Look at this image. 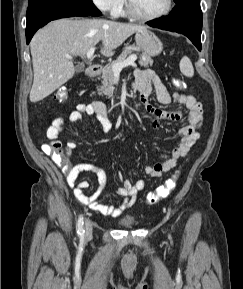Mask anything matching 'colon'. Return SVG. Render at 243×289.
I'll return each mask as SVG.
<instances>
[{"mask_svg": "<svg viewBox=\"0 0 243 289\" xmlns=\"http://www.w3.org/2000/svg\"><path fill=\"white\" fill-rule=\"evenodd\" d=\"M173 84L177 88H184L185 84L179 79H174ZM54 98L60 102L67 100L68 93L66 89L60 88L56 91ZM43 151L49 155L53 161L59 166H67V160L61 153V143L59 141L50 142L42 145ZM180 172H176L171 178L167 179L164 184L156 188L155 191L149 193L146 198L148 205H155L160 200L168 197L175 189Z\"/></svg>", "mask_w": 243, "mask_h": 289, "instance_id": "colon-1", "label": "colon"}]
</instances>
